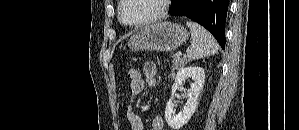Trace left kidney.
Masks as SVG:
<instances>
[{"instance_id": "5707ae66", "label": "left kidney", "mask_w": 299, "mask_h": 130, "mask_svg": "<svg viewBox=\"0 0 299 130\" xmlns=\"http://www.w3.org/2000/svg\"><path fill=\"white\" fill-rule=\"evenodd\" d=\"M188 77H191L194 82L192 83L190 90H188L187 92V101L183 110L180 111L178 114H175V111L173 109L174 94L177 88ZM204 79H205V72L204 69L201 67H196V66L182 67L181 69L178 70L175 77V81L172 86L171 97L166 104V110H165L166 122L173 130H179L181 127H183L190 120L191 116L194 114L198 104V97L203 88Z\"/></svg>"}]
</instances>
